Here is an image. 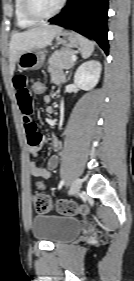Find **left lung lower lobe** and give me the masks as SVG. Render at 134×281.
<instances>
[{"label":"left lung lower lobe","mask_w":134,"mask_h":281,"mask_svg":"<svg viewBox=\"0 0 134 281\" xmlns=\"http://www.w3.org/2000/svg\"><path fill=\"white\" fill-rule=\"evenodd\" d=\"M108 0H69L66 9L48 21L92 37L108 54Z\"/></svg>","instance_id":"0a47b994"}]
</instances>
